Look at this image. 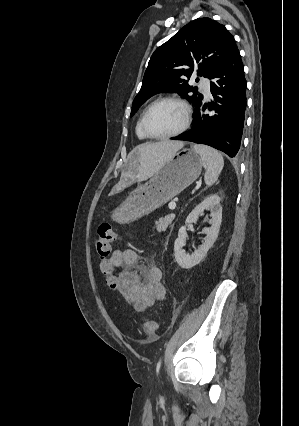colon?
<instances>
[{"label":"colon","instance_id":"1","mask_svg":"<svg viewBox=\"0 0 299 426\" xmlns=\"http://www.w3.org/2000/svg\"><path fill=\"white\" fill-rule=\"evenodd\" d=\"M115 239V233L110 224L102 223L99 225L95 238V249L101 260V272L106 279L107 285L112 289H118V279L108 259L112 252ZM157 330L158 324L156 321L151 320L146 322L144 331L149 339L157 337Z\"/></svg>","mask_w":299,"mask_h":426}]
</instances>
